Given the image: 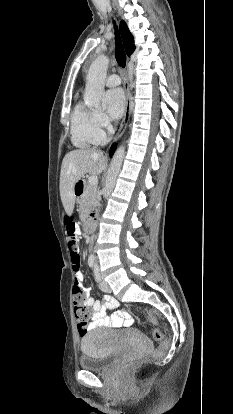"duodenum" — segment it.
<instances>
[{"instance_id":"obj_1","label":"duodenum","mask_w":233,"mask_h":414,"mask_svg":"<svg viewBox=\"0 0 233 414\" xmlns=\"http://www.w3.org/2000/svg\"><path fill=\"white\" fill-rule=\"evenodd\" d=\"M78 188L81 190V194H82L83 191H84V183L82 181H77L75 183V186H74V194L75 195H76V190ZM76 196H79V195H76ZM94 220H95V213H90L86 217V219L84 220V223H83V228L86 232H91L93 230Z\"/></svg>"}]
</instances>
